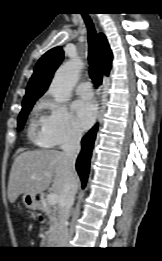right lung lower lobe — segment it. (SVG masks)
<instances>
[{
	"instance_id": "98d812e1",
	"label": "right lung lower lobe",
	"mask_w": 162,
	"mask_h": 261,
	"mask_svg": "<svg viewBox=\"0 0 162 261\" xmlns=\"http://www.w3.org/2000/svg\"><path fill=\"white\" fill-rule=\"evenodd\" d=\"M97 125L94 126L82 139L81 145L82 150L77 158L76 170L82 181V187L86 185L88 178L89 167H90V158L92 155V149L94 146V141L96 138Z\"/></svg>"
}]
</instances>
